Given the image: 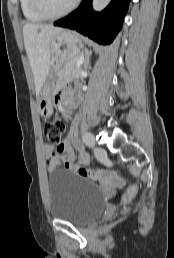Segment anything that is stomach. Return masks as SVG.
<instances>
[{"mask_svg":"<svg viewBox=\"0 0 174 258\" xmlns=\"http://www.w3.org/2000/svg\"><path fill=\"white\" fill-rule=\"evenodd\" d=\"M52 52L53 73L49 75L38 95V110L43 118H48L53 113V91L56 74L64 62L81 54L82 42L75 32L62 30L50 42Z\"/></svg>","mask_w":174,"mask_h":258,"instance_id":"1","label":"stomach"}]
</instances>
